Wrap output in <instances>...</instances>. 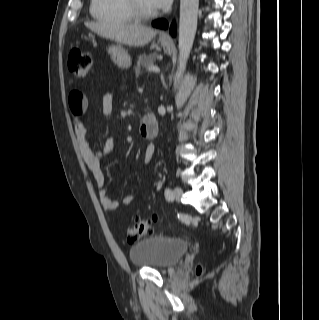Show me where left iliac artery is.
<instances>
[{
	"label": "left iliac artery",
	"instance_id": "44dca946",
	"mask_svg": "<svg viewBox=\"0 0 319 320\" xmlns=\"http://www.w3.org/2000/svg\"><path fill=\"white\" fill-rule=\"evenodd\" d=\"M165 198L170 201L173 200V192L170 188L165 189Z\"/></svg>",
	"mask_w": 319,
	"mask_h": 320
}]
</instances>
